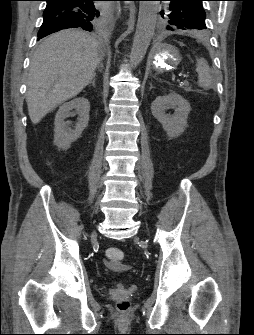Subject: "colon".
<instances>
[{"label": "colon", "mask_w": 254, "mask_h": 335, "mask_svg": "<svg viewBox=\"0 0 254 335\" xmlns=\"http://www.w3.org/2000/svg\"><path fill=\"white\" fill-rule=\"evenodd\" d=\"M106 257L112 267H118L124 260V253L118 248H108L106 250ZM130 303L127 300H121L117 303V308L120 312L128 311Z\"/></svg>", "instance_id": "colon-1"}]
</instances>
